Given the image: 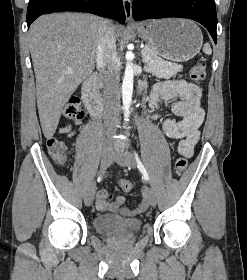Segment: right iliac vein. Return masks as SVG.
I'll return each mask as SVG.
<instances>
[{"label":"right iliac vein","instance_id":"obj_1","mask_svg":"<svg viewBox=\"0 0 247 280\" xmlns=\"http://www.w3.org/2000/svg\"><path fill=\"white\" fill-rule=\"evenodd\" d=\"M113 159L112 147L107 146L104 148L101 157V171L105 170L111 163ZM96 191V184L92 183L88 190L86 191L84 201L87 206H90L94 200V195Z\"/></svg>","mask_w":247,"mask_h":280}]
</instances>
